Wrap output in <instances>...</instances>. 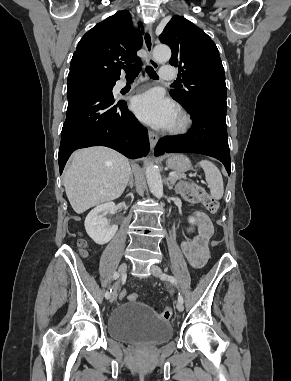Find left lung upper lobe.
<instances>
[{
  "instance_id": "5c2ea615",
  "label": "left lung upper lobe",
  "mask_w": 291,
  "mask_h": 381,
  "mask_svg": "<svg viewBox=\"0 0 291 381\" xmlns=\"http://www.w3.org/2000/svg\"><path fill=\"white\" fill-rule=\"evenodd\" d=\"M172 50L169 63L179 68L185 89L170 94L186 110L196 105L227 106L224 68L210 37L184 17L175 15L159 36Z\"/></svg>"
}]
</instances>
